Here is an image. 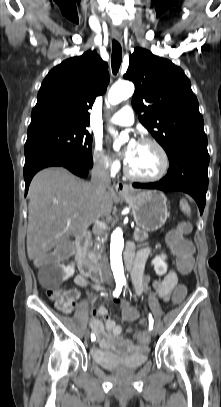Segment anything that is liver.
<instances>
[{"label": "liver", "instance_id": "obj_1", "mask_svg": "<svg viewBox=\"0 0 221 407\" xmlns=\"http://www.w3.org/2000/svg\"><path fill=\"white\" fill-rule=\"evenodd\" d=\"M115 196L114 191H106L100 199L95 198L90 183L62 167L38 172L28 191V258L43 256L70 236H77L93 220L109 217Z\"/></svg>", "mask_w": 221, "mask_h": 407}]
</instances>
